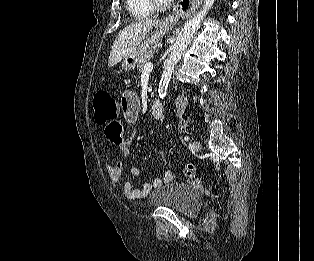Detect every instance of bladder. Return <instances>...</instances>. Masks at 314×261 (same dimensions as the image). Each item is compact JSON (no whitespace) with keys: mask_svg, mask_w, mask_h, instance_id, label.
<instances>
[{"mask_svg":"<svg viewBox=\"0 0 314 261\" xmlns=\"http://www.w3.org/2000/svg\"><path fill=\"white\" fill-rule=\"evenodd\" d=\"M148 202L151 206L169 208L184 216L193 217L202 206V196L187 184L170 182L152 190Z\"/></svg>","mask_w":314,"mask_h":261,"instance_id":"obj_1","label":"bladder"}]
</instances>
